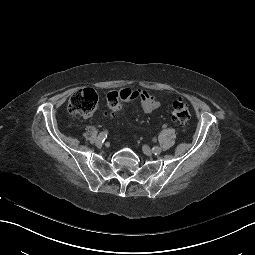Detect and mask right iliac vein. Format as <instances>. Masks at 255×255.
I'll return each instance as SVG.
<instances>
[{"mask_svg":"<svg viewBox=\"0 0 255 255\" xmlns=\"http://www.w3.org/2000/svg\"><path fill=\"white\" fill-rule=\"evenodd\" d=\"M95 144H96L97 147H102L103 146V142L99 138L96 140Z\"/></svg>","mask_w":255,"mask_h":255,"instance_id":"63e3f726","label":"right iliac vein"}]
</instances>
